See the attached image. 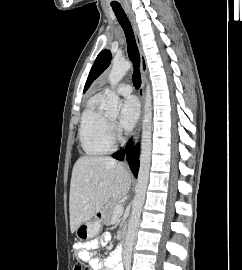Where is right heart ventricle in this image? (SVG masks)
Here are the masks:
<instances>
[{
	"label": "right heart ventricle",
	"mask_w": 242,
	"mask_h": 270,
	"mask_svg": "<svg viewBox=\"0 0 242 270\" xmlns=\"http://www.w3.org/2000/svg\"><path fill=\"white\" fill-rule=\"evenodd\" d=\"M102 99L97 94L88 101L78 132L81 148L91 156L106 154L114 148L109 118L101 109Z\"/></svg>",
	"instance_id": "right-heart-ventricle-1"
}]
</instances>
